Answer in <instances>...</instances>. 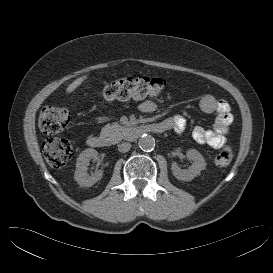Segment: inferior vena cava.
Wrapping results in <instances>:
<instances>
[{"instance_id":"obj_1","label":"inferior vena cava","mask_w":273,"mask_h":273,"mask_svg":"<svg viewBox=\"0 0 273 273\" xmlns=\"http://www.w3.org/2000/svg\"><path fill=\"white\" fill-rule=\"evenodd\" d=\"M131 148V144L128 143V142H123L121 144L118 145V150L121 152V153H125V152H128Z\"/></svg>"}]
</instances>
